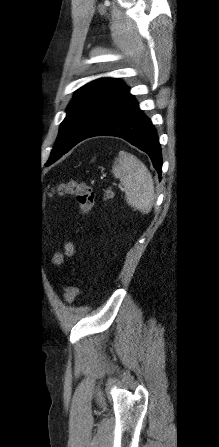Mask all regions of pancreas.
I'll return each instance as SVG.
<instances>
[{
	"label": "pancreas",
	"mask_w": 219,
	"mask_h": 447,
	"mask_svg": "<svg viewBox=\"0 0 219 447\" xmlns=\"http://www.w3.org/2000/svg\"><path fill=\"white\" fill-rule=\"evenodd\" d=\"M114 197V192L111 189L105 191L104 200L112 199Z\"/></svg>",
	"instance_id": "cf45deb5"
}]
</instances>
